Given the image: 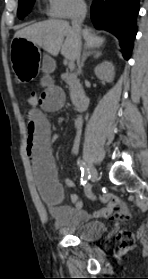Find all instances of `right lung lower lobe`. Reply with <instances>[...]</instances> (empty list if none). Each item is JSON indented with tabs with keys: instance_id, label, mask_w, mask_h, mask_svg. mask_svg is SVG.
I'll return each instance as SVG.
<instances>
[{
	"instance_id": "obj_1",
	"label": "right lung lower lobe",
	"mask_w": 148,
	"mask_h": 279,
	"mask_svg": "<svg viewBox=\"0 0 148 279\" xmlns=\"http://www.w3.org/2000/svg\"><path fill=\"white\" fill-rule=\"evenodd\" d=\"M139 0H95L91 20L97 29L112 32L120 40L123 57L129 59L137 33Z\"/></svg>"
}]
</instances>
